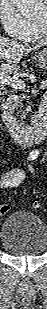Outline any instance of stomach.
<instances>
[{"instance_id": "stomach-1", "label": "stomach", "mask_w": 47, "mask_h": 309, "mask_svg": "<svg viewBox=\"0 0 47 309\" xmlns=\"http://www.w3.org/2000/svg\"><path fill=\"white\" fill-rule=\"evenodd\" d=\"M37 66L47 69V47L38 51L33 57Z\"/></svg>"}]
</instances>
